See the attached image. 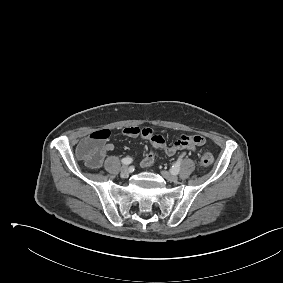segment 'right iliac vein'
Here are the masks:
<instances>
[{
    "mask_svg": "<svg viewBox=\"0 0 283 283\" xmlns=\"http://www.w3.org/2000/svg\"><path fill=\"white\" fill-rule=\"evenodd\" d=\"M120 172L123 177H127L129 175V167L127 165L122 166Z\"/></svg>",
    "mask_w": 283,
    "mask_h": 283,
    "instance_id": "1",
    "label": "right iliac vein"
}]
</instances>
